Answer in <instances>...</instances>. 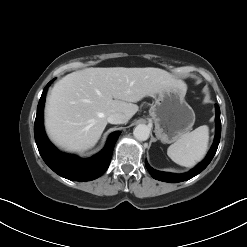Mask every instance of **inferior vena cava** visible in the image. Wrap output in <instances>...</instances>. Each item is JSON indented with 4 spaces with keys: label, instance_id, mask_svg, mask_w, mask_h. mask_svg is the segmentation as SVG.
<instances>
[{
    "label": "inferior vena cava",
    "instance_id": "inferior-vena-cava-1",
    "mask_svg": "<svg viewBox=\"0 0 247 247\" xmlns=\"http://www.w3.org/2000/svg\"><path fill=\"white\" fill-rule=\"evenodd\" d=\"M107 121L111 124H124L128 121V118L123 113L115 112L108 116Z\"/></svg>",
    "mask_w": 247,
    "mask_h": 247
}]
</instances>
